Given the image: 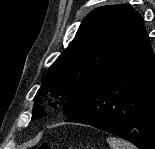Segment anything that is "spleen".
Listing matches in <instances>:
<instances>
[{
	"instance_id": "obj_1",
	"label": "spleen",
	"mask_w": 155,
	"mask_h": 149,
	"mask_svg": "<svg viewBox=\"0 0 155 149\" xmlns=\"http://www.w3.org/2000/svg\"><path fill=\"white\" fill-rule=\"evenodd\" d=\"M107 142L109 143L111 149H137V147L133 144L117 137H108Z\"/></svg>"
}]
</instances>
